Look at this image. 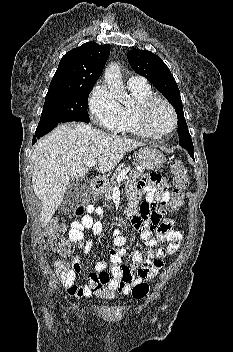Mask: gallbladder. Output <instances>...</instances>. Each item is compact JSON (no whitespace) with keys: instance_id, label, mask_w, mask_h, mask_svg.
<instances>
[{"instance_id":"1","label":"gallbladder","mask_w":233,"mask_h":352,"mask_svg":"<svg viewBox=\"0 0 233 352\" xmlns=\"http://www.w3.org/2000/svg\"><path fill=\"white\" fill-rule=\"evenodd\" d=\"M88 186L89 182L87 180L76 178L70 179L60 206V211L67 213L77 206Z\"/></svg>"}]
</instances>
